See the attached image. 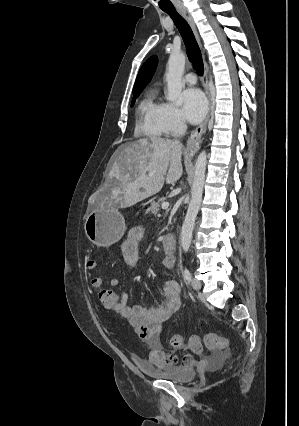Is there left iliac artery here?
I'll list each match as a JSON object with an SVG mask.
<instances>
[{"instance_id":"left-iliac-artery-1","label":"left iliac artery","mask_w":299,"mask_h":426,"mask_svg":"<svg viewBox=\"0 0 299 426\" xmlns=\"http://www.w3.org/2000/svg\"><path fill=\"white\" fill-rule=\"evenodd\" d=\"M184 278L190 282L191 281V274L187 268L184 269Z\"/></svg>"}]
</instances>
